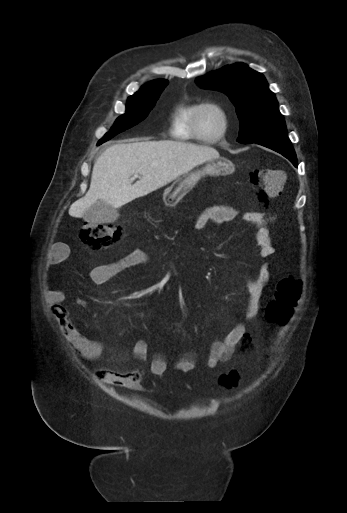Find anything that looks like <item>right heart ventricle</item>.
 I'll return each mask as SVG.
<instances>
[{
    "label": "right heart ventricle",
    "mask_w": 347,
    "mask_h": 513,
    "mask_svg": "<svg viewBox=\"0 0 347 513\" xmlns=\"http://www.w3.org/2000/svg\"><path fill=\"white\" fill-rule=\"evenodd\" d=\"M200 102L188 101L180 103L174 110L170 133L178 141L202 142L205 141L196 136L192 131V119Z\"/></svg>",
    "instance_id": "right-heart-ventricle-1"
}]
</instances>
